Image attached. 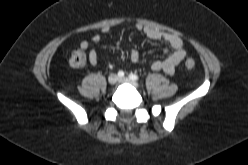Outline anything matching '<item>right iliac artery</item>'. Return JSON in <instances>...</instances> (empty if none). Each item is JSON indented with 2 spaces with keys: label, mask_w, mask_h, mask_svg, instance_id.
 I'll return each instance as SVG.
<instances>
[{
  "label": "right iliac artery",
  "mask_w": 248,
  "mask_h": 165,
  "mask_svg": "<svg viewBox=\"0 0 248 165\" xmlns=\"http://www.w3.org/2000/svg\"><path fill=\"white\" fill-rule=\"evenodd\" d=\"M123 76H124V72H123V71H119V72H118V77L121 78V77H123Z\"/></svg>",
  "instance_id": "1"
}]
</instances>
